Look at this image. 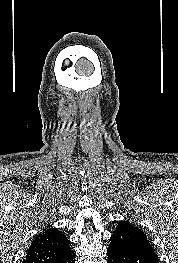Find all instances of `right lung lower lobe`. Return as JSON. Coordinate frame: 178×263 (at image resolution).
<instances>
[{
	"label": "right lung lower lobe",
	"instance_id": "1",
	"mask_svg": "<svg viewBox=\"0 0 178 263\" xmlns=\"http://www.w3.org/2000/svg\"><path fill=\"white\" fill-rule=\"evenodd\" d=\"M75 253L71 250L69 253H66L53 263H74Z\"/></svg>",
	"mask_w": 178,
	"mask_h": 263
}]
</instances>
